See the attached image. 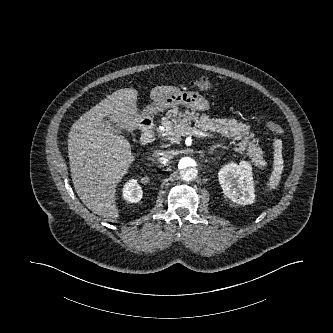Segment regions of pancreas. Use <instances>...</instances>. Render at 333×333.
Listing matches in <instances>:
<instances>
[{
    "instance_id": "obj_1",
    "label": "pancreas",
    "mask_w": 333,
    "mask_h": 333,
    "mask_svg": "<svg viewBox=\"0 0 333 333\" xmlns=\"http://www.w3.org/2000/svg\"><path fill=\"white\" fill-rule=\"evenodd\" d=\"M192 121L195 122V127L202 131L217 132L238 141L235 143V151L240 153L247 151L251 162L259 168L262 166L263 152L255 139L250 140L254 134H249L248 126L235 119L208 118V116H199L198 113L188 111L177 113V108H174L167 113V117L162 118L161 123L165 128L166 139L171 143H179L182 137L188 136L192 130L189 126Z\"/></svg>"
}]
</instances>
